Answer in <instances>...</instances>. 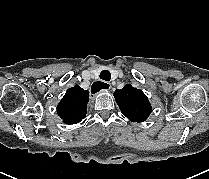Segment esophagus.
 I'll use <instances>...</instances> for the list:
<instances>
[{"label": "esophagus", "mask_w": 209, "mask_h": 179, "mask_svg": "<svg viewBox=\"0 0 209 179\" xmlns=\"http://www.w3.org/2000/svg\"><path fill=\"white\" fill-rule=\"evenodd\" d=\"M111 88V84L108 82H94L92 84L91 93L95 94L96 92L100 91L101 89L109 90Z\"/></svg>", "instance_id": "esophagus-1"}]
</instances>
